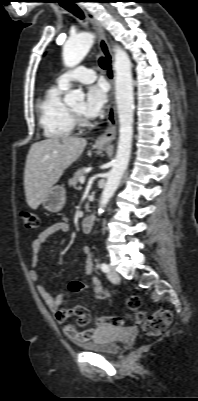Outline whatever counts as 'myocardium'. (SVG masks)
Wrapping results in <instances>:
<instances>
[{
  "label": "myocardium",
  "mask_w": 198,
  "mask_h": 401,
  "mask_svg": "<svg viewBox=\"0 0 198 401\" xmlns=\"http://www.w3.org/2000/svg\"><path fill=\"white\" fill-rule=\"evenodd\" d=\"M69 109L74 127H77L79 129H85L92 125V123L87 118H85L83 114L76 112L72 108Z\"/></svg>",
  "instance_id": "myocardium-1"
}]
</instances>
